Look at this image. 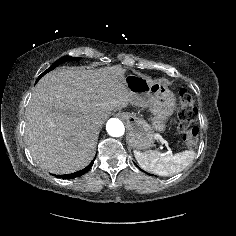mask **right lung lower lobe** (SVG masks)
<instances>
[{
    "instance_id": "right-lung-lower-lobe-1",
    "label": "right lung lower lobe",
    "mask_w": 236,
    "mask_h": 236,
    "mask_svg": "<svg viewBox=\"0 0 236 236\" xmlns=\"http://www.w3.org/2000/svg\"><path fill=\"white\" fill-rule=\"evenodd\" d=\"M94 163V160L83 170H80V171H77L75 173H72V174H67V175H61L59 177L63 178V179H70V178H76L78 176H81L83 175L84 173H86L90 168L91 166L93 165Z\"/></svg>"
}]
</instances>
